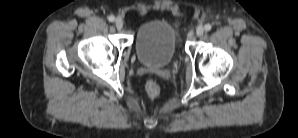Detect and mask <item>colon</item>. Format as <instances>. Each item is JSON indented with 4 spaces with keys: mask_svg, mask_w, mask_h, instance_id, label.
<instances>
[{
    "mask_svg": "<svg viewBox=\"0 0 298 138\" xmlns=\"http://www.w3.org/2000/svg\"><path fill=\"white\" fill-rule=\"evenodd\" d=\"M145 91L149 98L154 99L159 94V86L156 81L150 80L145 85Z\"/></svg>",
    "mask_w": 298,
    "mask_h": 138,
    "instance_id": "1",
    "label": "colon"
}]
</instances>
